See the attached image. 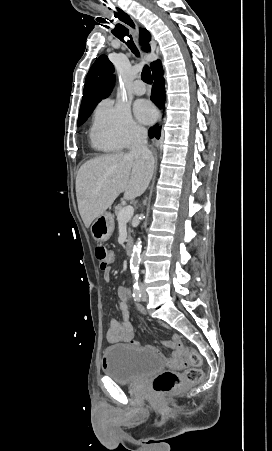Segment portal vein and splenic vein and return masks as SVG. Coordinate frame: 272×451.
Wrapping results in <instances>:
<instances>
[{"label":"portal vein and splenic vein","mask_w":272,"mask_h":451,"mask_svg":"<svg viewBox=\"0 0 272 451\" xmlns=\"http://www.w3.org/2000/svg\"><path fill=\"white\" fill-rule=\"evenodd\" d=\"M134 214V208L132 206H126V208H123V210H120L117 220L119 224H127L129 220H131L132 216Z\"/></svg>","instance_id":"18ae733b"}]
</instances>
